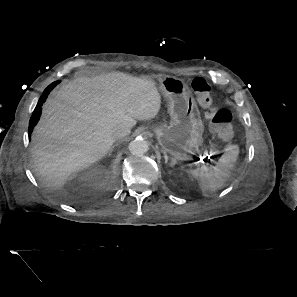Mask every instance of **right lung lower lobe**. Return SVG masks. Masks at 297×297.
I'll return each instance as SVG.
<instances>
[{
  "mask_svg": "<svg viewBox=\"0 0 297 297\" xmlns=\"http://www.w3.org/2000/svg\"><path fill=\"white\" fill-rule=\"evenodd\" d=\"M53 88H51V86H48L44 92H43V95L40 97L39 101H38V104L35 108V110L33 111V114L31 116V119H30V122H29V131L30 133H32V130L34 128V126L38 123L39 121V116L41 114V106H42V103L45 101L47 95L49 94V92L52 90Z\"/></svg>",
  "mask_w": 297,
  "mask_h": 297,
  "instance_id": "right-lung-lower-lobe-1",
  "label": "right lung lower lobe"
}]
</instances>
